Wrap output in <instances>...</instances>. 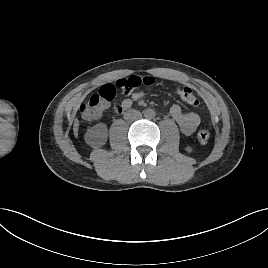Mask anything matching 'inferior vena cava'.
I'll use <instances>...</instances> for the list:
<instances>
[{
	"label": "inferior vena cava",
	"mask_w": 268,
	"mask_h": 268,
	"mask_svg": "<svg viewBox=\"0 0 268 268\" xmlns=\"http://www.w3.org/2000/svg\"><path fill=\"white\" fill-rule=\"evenodd\" d=\"M142 114L135 109H130L124 113V119L129 121H134L141 118Z\"/></svg>",
	"instance_id": "obj_1"
}]
</instances>
